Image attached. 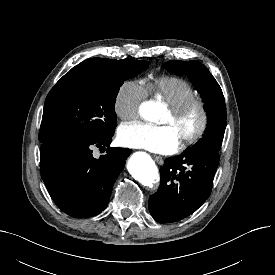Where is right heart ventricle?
<instances>
[{
    "instance_id": "obj_1",
    "label": "right heart ventricle",
    "mask_w": 275,
    "mask_h": 275,
    "mask_svg": "<svg viewBox=\"0 0 275 275\" xmlns=\"http://www.w3.org/2000/svg\"><path fill=\"white\" fill-rule=\"evenodd\" d=\"M147 92L172 107L196 96L194 88L186 80L175 76H160L149 81Z\"/></svg>"
}]
</instances>
